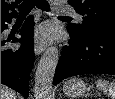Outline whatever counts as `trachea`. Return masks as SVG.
Segmentation results:
<instances>
[{
  "mask_svg": "<svg viewBox=\"0 0 115 99\" xmlns=\"http://www.w3.org/2000/svg\"><path fill=\"white\" fill-rule=\"evenodd\" d=\"M34 6L41 9L42 11H49L50 10L49 3L46 0H25L19 6V10H20L19 15L20 16L27 15ZM65 18H69V17L65 16Z\"/></svg>",
  "mask_w": 115,
  "mask_h": 99,
  "instance_id": "1",
  "label": "trachea"
}]
</instances>
